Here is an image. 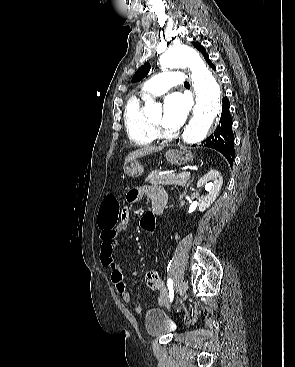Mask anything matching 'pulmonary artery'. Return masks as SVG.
I'll list each match as a JSON object with an SVG mask.
<instances>
[{"mask_svg": "<svg viewBox=\"0 0 295 367\" xmlns=\"http://www.w3.org/2000/svg\"><path fill=\"white\" fill-rule=\"evenodd\" d=\"M183 75L178 71H165L148 80L143 88L144 95L158 96L167 92L171 87L181 85Z\"/></svg>", "mask_w": 295, "mask_h": 367, "instance_id": "obj_1", "label": "pulmonary artery"}]
</instances>
